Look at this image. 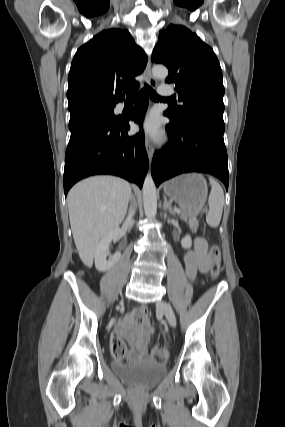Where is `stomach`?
Instances as JSON below:
<instances>
[{
  "mask_svg": "<svg viewBox=\"0 0 285 427\" xmlns=\"http://www.w3.org/2000/svg\"><path fill=\"white\" fill-rule=\"evenodd\" d=\"M164 193L174 200L189 216H196L204 206L208 187L201 174L177 176L164 184Z\"/></svg>",
  "mask_w": 285,
  "mask_h": 427,
  "instance_id": "obj_1",
  "label": "stomach"
}]
</instances>
